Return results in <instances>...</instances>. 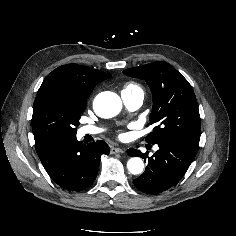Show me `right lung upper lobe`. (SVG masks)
<instances>
[{"mask_svg": "<svg viewBox=\"0 0 236 236\" xmlns=\"http://www.w3.org/2000/svg\"><path fill=\"white\" fill-rule=\"evenodd\" d=\"M110 77V74L91 67L67 64L49 73L39 90L56 88L77 99L87 100L93 88Z\"/></svg>", "mask_w": 236, "mask_h": 236, "instance_id": "cb5924a9", "label": "right lung upper lobe"}]
</instances>
